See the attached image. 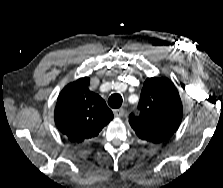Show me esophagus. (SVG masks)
<instances>
[{
    "instance_id": "34e87169",
    "label": "esophagus",
    "mask_w": 223,
    "mask_h": 188,
    "mask_svg": "<svg viewBox=\"0 0 223 188\" xmlns=\"http://www.w3.org/2000/svg\"><path fill=\"white\" fill-rule=\"evenodd\" d=\"M124 113H125V111H124L123 108H119V109H115V110H114V116H115L116 118H120V117H122V116L124 115Z\"/></svg>"
}]
</instances>
